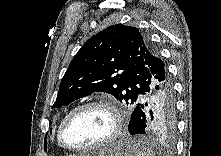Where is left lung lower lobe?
Here are the masks:
<instances>
[{
	"instance_id": "obj_1",
	"label": "left lung lower lobe",
	"mask_w": 221,
	"mask_h": 156,
	"mask_svg": "<svg viewBox=\"0 0 221 156\" xmlns=\"http://www.w3.org/2000/svg\"><path fill=\"white\" fill-rule=\"evenodd\" d=\"M176 128L175 96L167 70L156 72L149 80L146 96L134 106L128 131L135 134L173 136Z\"/></svg>"
}]
</instances>
